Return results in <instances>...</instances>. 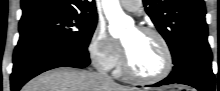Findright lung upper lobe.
<instances>
[{"instance_id": "obj_1", "label": "right lung upper lobe", "mask_w": 220, "mask_h": 91, "mask_svg": "<svg viewBox=\"0 0 220 91\" xmlns=\"http://www.w3.org/2000/svg\"><path fill=\"white\" fill-rule=\"evenodd\" d=\"M21 8L23 14L19 24L56 14L97 15L94 1L88 0H22Z\"/></svg>"}]
</instances>
